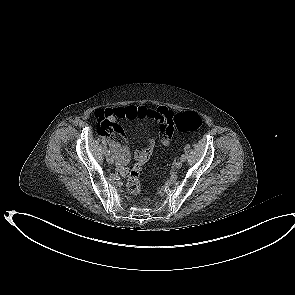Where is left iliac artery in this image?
I'll return each mask as SVG.
<instances>
[{
	"label": "left iliac artery",
	"mask_w": 295,
	"mask_h": 295,
	"mask_svg": "<svg viewBox=\"0 0 295 295\" xmlns=\"http://www.w3.org/2000/svg\"><path fill=\"white\" fill-rule=\"evenodd\" d=\"M180 159H181L182 161H184V160L186 159V155H185V154H182Z\"/></svg>",
	"instance_id": "left-iliac-artery-1"
}]
</instances>
